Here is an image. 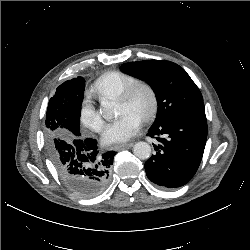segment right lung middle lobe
Returning a JSON list of instances; mask_svg holds the SVG:
<instances>
[{"label":"right lung middle lobe","instance_id":"dd1d6c3e","mask_svg":"<svg viewBox=\"0 0 250 250\" xmlns=\"http://www.w3.org/2000/svg\"><path fill=\"white\" fill-rule=\"evenodd\" d=\"M84 89L83 77L65 81L48 103L44 134L51 158L57 153L59 142L81 135L79 119Z\"/></svg>","mask_w":250,"mask_h":250}]
</instances>
